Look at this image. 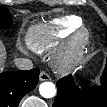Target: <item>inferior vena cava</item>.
Instances as JSON below:
<instances>
[{"label": "inferior vena cava", "mask_w": 107, "mask_h": 107, "mask_svg": "<svg viewBox=\"0 0 107 107\" xmlns=\"http://www.w3.org/2000/svg\"><path fill=\"white\" fill-rule=\"evenodd\" d=\"M15 66L19 70H31L33 69V63L30 59L27 58H15L14 59Z\"/></svg>", "instance_id": "602c4592"}]
</instances>
